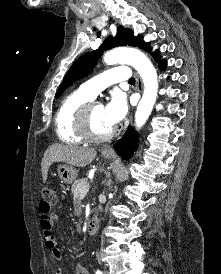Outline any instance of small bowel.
I'll return each instance as SVG.
<instances>
[{
    "label": "small bowel",
    "instance_id": "c3829d8e",
    "mask_svg": "<svg viewBox=\"0 0 221 274\" xmlns=\"http://www.w3.org/2000/svg\"><path fill=\"white\" fill-rule=\"evenodd\" d=\"M40 212V227L45 240V247L51 252L52 257L59 262L62 258L61 251L58 248L57 241L53 234L54 222L57 220V215L52 211L51 205L45 201H41L39 204ZM55 274H62L60 267L56 268ZM74 274H89L86 268L83 266H76Z\"/></svg>",
    "mask_w": 221,
    "mask_h": 274
}]
</instances>
